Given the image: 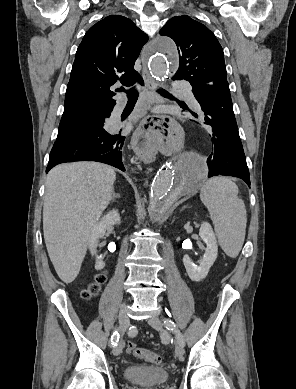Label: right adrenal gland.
Listing matches in <instances>:
<instances>
[{
	"mask_svg": "<svg viewBox=\"0 0 296 389\" xmlns=\"http://www.w3.org/2000/svg\"><path fill=\"white\" fill-rule=\"evenodd\" d=\"M116 198H120V194H118V193H113V196H112V202H114L115 200H116Z\"/></svg>",
	"mask_w": 296,
	"mask_h": 389,
	"instance_id": "obj_1",
	"label": "right adrenal gland"
}]
</instances>
